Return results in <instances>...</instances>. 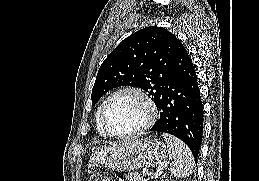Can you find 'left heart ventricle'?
Segmentation results:
<instances>
[{"mask_svg": "<svg viewBox=\"0 0 259 181\" xmlns=\"http://www.w3.org/2000/svg\"><path fill=\"white\" fill-rule=\"evenodd\" d=\"M147 116L144 102L135 94L124 93L110 102L105 119L112 132L124 134L142 126Z\"/></svg>", "mask_w": 259, "mask_h": 181, "instance_id": "b2bd125f", "label": "left heart ventricle"}]
</instances>
